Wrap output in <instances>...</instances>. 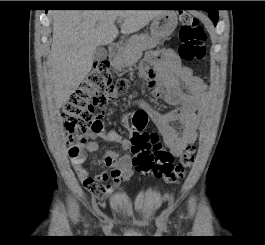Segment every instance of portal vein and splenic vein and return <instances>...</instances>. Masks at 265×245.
Here are the masks:
<instances>
[{
    "label": "portal vein and splenic vein",
    "instance_id": "18ae733b",
    "mask_svg": "<svg viewBox=\"0 0 265 245\" xmlns=\"http://www.w3.org/2000/svg\"><path fill=\"white\" fill-rule=\"evenodd\" d=\"M117 23H118V24H121V23H122V20H121V19H118V20H117Z\"/></svg>",
    "mask_w": 265,
    "mask_h": 245
}]
</instances>
